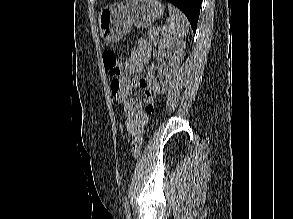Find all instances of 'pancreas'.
Listing matches in <instances>:
<instances>
[{
	"instance_id": "cf45deb5",
	"label": "pancreas",
	"mask_w": 293,
	"mask_h": 219,
	"mask_svg": "<svg viewBox=\"0 0 293 219\" xmlns=\"http://www.w3.org/2000/svg\"><path fill=\"white\" fill-rule=\"evenodd\" d=\"M148 39L152 44H155L158 40L159 31L156 28H149L148 32Z\"/></svg>"
}]
</instances>
